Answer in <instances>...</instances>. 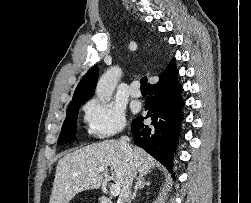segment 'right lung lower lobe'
<instances>
[{
    "mask_svg": "<svg viewBox=\"0 0 251 203\" xmlns=\"http://www.w3.org/2000/svg\"><path fill=\"white\" fill-rule=\"evenodd\" d=\"M177 75L173 64L158 83L148 86L147 114L134 119L131 125L136 145L169 168H172V152L178 142L183 119L184 102L180 94L183 89ZM147 118L151 119V123L144 125L143 120Z\"/></svg>",
    "mask_w": 251,
    "mask_h": 203,
    "instance_id": "obj_1",
    "label": "right lung lower lobe"
}]
</instances>
